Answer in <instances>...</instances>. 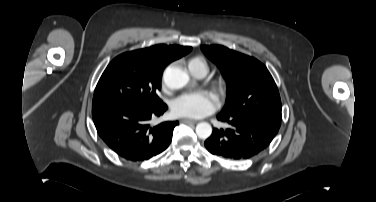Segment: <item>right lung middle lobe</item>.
<instances>
[{
    "instance_id": "1",
    "label": "right lung middle lobe",
    "mask_w": 376,
    "mask_h": 202,
    "mask_svg": "<svg viewBox=\"0 0 376 202\" xmlns=\"http://www.w3.org/2000/svg\"><path fill=\"white\" fill-rule=\"evenodd\" d=\"M161 75L152 73L134 52L116 57L102 74L93 97L92 107L112 101L154 104L161 101Z\"/></svg>"
}]
</instances>
